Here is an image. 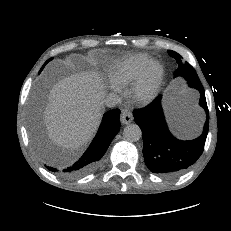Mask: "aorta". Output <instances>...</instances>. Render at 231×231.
I'll return each mask as SVG.
<instances>
[{
    "mask_svg": "<svg viewBox=\"0 0 231 231\" xmlns=\"http://www.w3.org/2000/svg\"><path fill=\"white\" fill-rule=\"evenodd\" d=\"M141 136L142 132L137 124H129L123 130V137L129 142H136Z\"/></svg>",
    "mask_w": 231,
    "mask_h": 231,
    "instance_id": "aorta-1",
    "label": "aorta"
}]
</instances>
